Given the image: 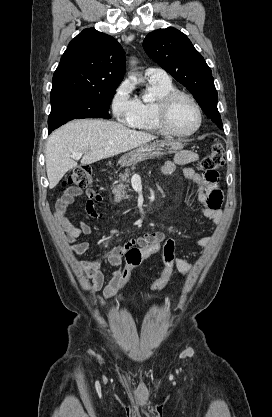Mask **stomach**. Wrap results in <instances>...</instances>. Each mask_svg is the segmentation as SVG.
Instances as JSON below:
<instances>
[{"mask_svg": "<svg viewBox=\"0 0 272 417\" xmlns=\"http://www.w3.org/2000/svg\"><path fill=\"white\" fill-rule=\"evenodd\" d=\"M182 148L183 145L178 142L156 140L154 142L145 143L137 149L124 154L118 162L122 166L135 165L141 161L159 158L174 153Z\"/></svg>", "mask_w": 272, "mask_h": 417, "instance_id": "obj_1", "label": "stomach"}]
</instances>
